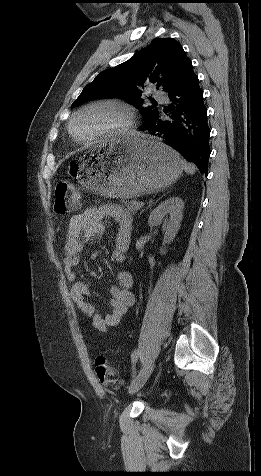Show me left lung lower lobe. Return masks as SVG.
I'll return each instance as SVG.
<instances>
[{"mask_svg":"<svg viewBox=\"0 0 261 476\" xmlns=\"http://www.w3.org/2000/svg\"><path fill=\"white\" fill-rule=\"evenodd\" d=\"M168 97L171 104L140 129L153 131V135L162 138L167 146L207 175L210 129L203 92L192 65Z\"/></svg>","mask_w":261,"mask_h":476,"instance_id":"left-lung-lower-lobe-1","label":"left lung lower lobe"}]
</instances>
